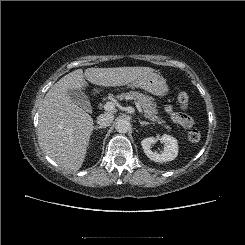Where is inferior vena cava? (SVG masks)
<instances>
[{"label": "inferior vena cava", "instance_id": "inferior-vena-cava-1", "mask_svg": "<svg viewBox=\"0 0 245 245\" xmlns=\"http://www.w3.org/2000/svg\"><path fill=\"white\" fill-rule=\"evenodd\" d=\"M113 120H114V115L111 113H104L97 117V123L103 127L110 126Z\"/></svg>", "mask_w": 245, "mask_h": 245}]
</instances>
